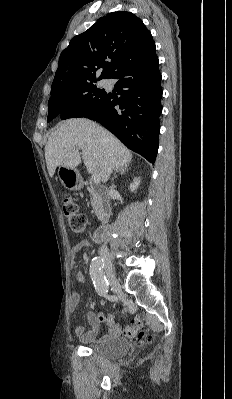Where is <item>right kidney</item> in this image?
<instances>
[{
	"label": "right kidney",
	"instance_id": "ca27d5eb",
	"mask_svg": "<svg viewBox=\"0 0 232 399\" xmlns=\"http://www.w3.org/2000/svg\"><path fill=\"white\" fill-rule=\"evenodd\" d=\"M139 184H140V178H134L132 184H130L131 192H134V190H137Z\"/></svg>",
	"mask_w": 232,
	"mask_h": 399
}]
</instances>
